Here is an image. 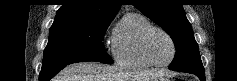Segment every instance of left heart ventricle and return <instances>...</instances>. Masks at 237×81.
<instances>
[{
    "instance_id": "b2bd125f",
    "label": "left heart ventricle",
    "mask_w": 237,
    "mask_h": 81,
    "mask_svg": "<svg viewBox=\"0 0 237 81\" xmlns=\"http://www.w3.org/2000/svg\"><path fill=\"white\" fill-rule=\"evenodd\" d=\"M148 50L151 58L157 63L167 62L172 55L169 39L160 32H153L148 39Z\"/></svg>"
}]
</instances>
